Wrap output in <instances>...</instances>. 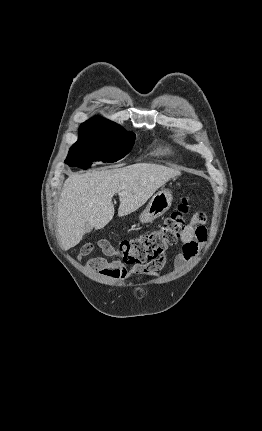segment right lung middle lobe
<instances>
[{
  "label": "right lung middle lobe",
  "mask_w": 262,
  "mask_h": 431,
  "mask_svg": "<svg viewBox=\"0 0 262 431\" xmlns=\"http://www.w3.org/2000/svg\"><path fill=\"white\" fill-rule=\"evenodd\" d=\"M134 138V133L113 122L80 126L78 141L70 148L65 163L87 169L93 161L116 162L131 150Z\"/></svg>",
  "instance_id": "1"
}]
</instances>
